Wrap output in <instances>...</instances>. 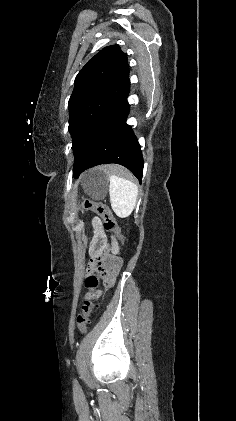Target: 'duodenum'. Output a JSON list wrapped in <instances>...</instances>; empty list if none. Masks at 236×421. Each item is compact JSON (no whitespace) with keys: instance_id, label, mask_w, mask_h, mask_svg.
<instances>
[{"instance_id":"duodenum-1","label":"duodenum","mask_w":236,"mask_h":421,"mask_svg":"<svg viewBox=\"0 0 236 421\" xmlns=\"http://www.w3.org/2000/svg\"><path fill=\"white\" fill-rule=\"evenodd\" d=\"M120 265L121 264L117 259L115 258L108 259L106 263V272L104 275V281L107 285H110L112 281L113 273L118 271V269L120 268Z\"/></svg>"}]
</instances>
